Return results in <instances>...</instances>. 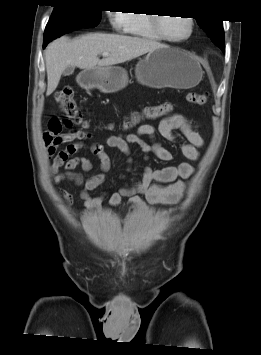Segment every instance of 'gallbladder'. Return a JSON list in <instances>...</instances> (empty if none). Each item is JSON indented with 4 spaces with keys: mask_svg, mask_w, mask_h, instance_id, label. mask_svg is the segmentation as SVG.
I'll return each mask as SVG.
<instances>
[{
    "mask_svg": "<svg viewBox=\"0 0 261 355\" xmlns=\"http://www.w3.org/2000/svg\"><path fill=\"white\" fill-rule=\"evenodd\" d=\"M74 69H75L74 66H68V67L64 70L63 75H64V76H69V75H71V74L74 72Z\"/></svg>",
    "mask_w": 261,
    "mask_h": 355,
    "instance_id": "gallbladder-1",
    "label": "gallbladder"
}]
</instances>
